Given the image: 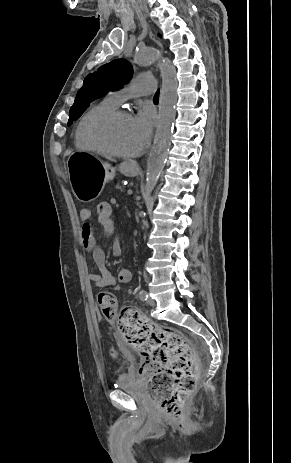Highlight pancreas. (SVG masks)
I'll return each mask as SVG.
<instances>
[{
  "mask_svg": "<svg viewBox=\"0 0 291 463\" xmlns=\"http://www.w3.org/2000/svg\"><path fill=\"white\" fill-rule=\"evenodd\" d=\"M115 190L119 193H125V186L124 184L121 182L117 183V185H115Z\"/></svg>",
  "mask_w": 291,
  "mask_h": 463,
  "instance_id": "1",
  "label": "pancreas"
}]
</instances>
